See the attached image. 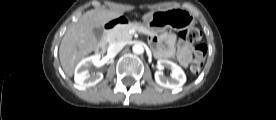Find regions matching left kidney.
Segmentation results:
<instances>
[{
	"mask_svg": "<svg viewBox=\"0 0 276 120\" xmlns=\"http://www.w3.org/2000/svg\"><path fill=\"white\" fill-rule=\"evenodd\" d=\"M159 70L155 72V81L162 87L172 90L179 89L186 82V75L182 68L172 61L160 59L158 60ZM167 68L171 70L170 78L166 77L162 69Z\"/></svg>",
	"mask_w": 276,
	"mask_h": 120,
	"instance_id": "5707ae66",
	"label": "left kidney"
}]
</instances>
